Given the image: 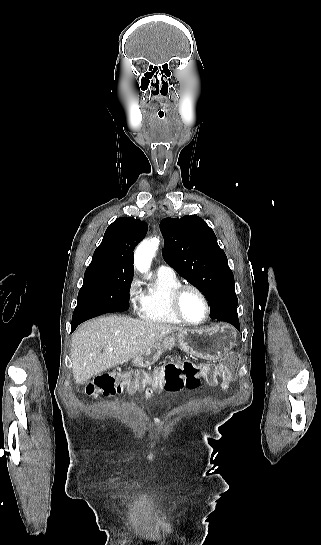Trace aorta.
Wrapping results in <instances>:
<instances>
[{
	"instance_id": "obj_1",
	"label": "aorta",
	"mask_w": 321,
	"mask_h": 545,
	"mask_svg": "<svg viewBox=\"0 0 321 545\" xmlns=\"http://www.w3.org/2000/svg\"><path fill=\"white\" fill-rule=\"evenodd\" d=\"M159 239L151 238L143 241L134 254V264L138 271L146 272L150 268L152 258L158 249Z\"/></svg>"
}]
</instances>
